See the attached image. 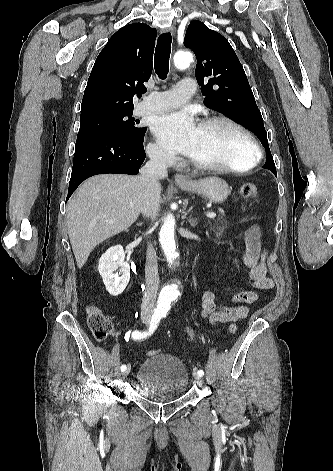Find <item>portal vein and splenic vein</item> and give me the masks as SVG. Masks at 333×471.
<instances>
[{
    "mask_svg": "<svg viewBox=\"0 0 333 471\" xmlns=\"http://www.w3.org/2000/svg\"><path fill=\"white\" fill-rule=\"evenodd\" d=\"M206 217H207V218H210V219H213V218L216 217V213H214V212H209V213L206 214ZM110 222H111V221H110Z\"/></svg>",
    "mask_w": 333,
    "mask_h": 471,
    "instance_id": "portal-vein-and-splenic-vein-1",
    "label": "portal vein and splenic vein"
}]
</instances>
